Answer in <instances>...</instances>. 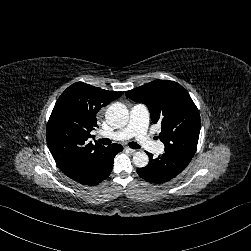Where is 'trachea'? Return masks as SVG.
<instances>
[{"label": "trachea", "mask_w": 251, "mask_h": 251, "mask_svg": "<svg viewBox=\"0 0 251 251\" xmlns=\"http://www.w3.org/2000/svg\"><path fill=\"white\" fill-rule=\"evenodd\" d=\"M101 144L103 145H110L112 143V141L110 139H107V138H103V139H100L98 140ZM128 145L133 148V149H138L139 148V145L136 143V142H130L128 143Z\"/></svg>", "instance_id": "1"}]
</instances>
